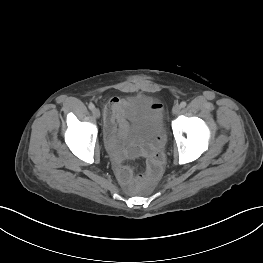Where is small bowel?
<instances>
[{
    "label": "small bowel",
    "instance_id": "c3829d8e",
    "mask_svg": "<svg viewBox=\"0 0 263 263\" xmlns=\"http://www.w3.org/2000/svg\"><path fill=\"white\" fill-rule=\"evenodd\" d=\"M128 104L127 99L120 97H112L104 112V130L108 151L111 155L114 169L119 181L127 186L133 178V170L125 165L128 159L138 156L148 158V165L154 161H163V153L159 150L161 139L157 138L154 144L147 147H130L125 148L120 143V138L126 130V113L125 108ZM154 107L159 112L162 111V105L159 102H154Z\"/></svg>",
    "mask_w": 263,
    "mask_h": 263
}]
</instances>
